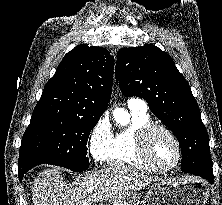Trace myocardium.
I'll return each mask as SVG.
<instances>
[{
    "instance_id": "obj_1",
    "label": "myocardium",
    "mask_w": 222,
    "mask_h": 205,
    "mask_svg": "<svg viewBox=\"0 0 222 205\" xmlns=\"http://www.w3.org/2000/svg\"><path fill=\"white\" fill-rule=\"evenodd\" d=\"M156 130L164 132L167 136H169V138L175 144L176 151H177L176 160L169 167H163V166H160L159 164H157L153 160V158L151 157L150 152L148 150L147 140H148L150 134ZM136 144H137V151H138V154L140 155V157L149 166H151L153 169H155L158 172L167 173V172L173 171L179 166V164L182 160V147H181V144H180L177 136L174 134V132L170 128H168L167 126H165L163 124L150 122V123L146 124L145 126L141 127L138 130L137 135H136Z\"/></svg>"
}]
</instances>
